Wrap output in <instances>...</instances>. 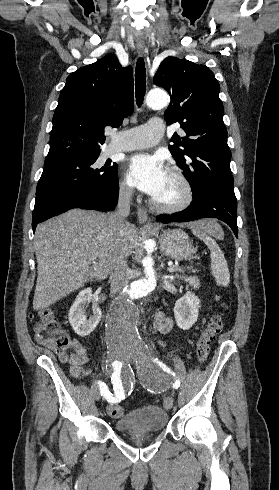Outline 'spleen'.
<instances>
[{"label":"spleen","mask_w":279,"mask_h":490,"mask_svg":"<svg viewBox=\"0 0 279 490\" xmlns=\"http://www.w3.org/2000/svg\"><path fill=\"white\" fill-rule=\"evenodd\" d=\"M194 236L205 242L211 252V272L221 288H227L230 284V274L227 262L218 244L213 238L223 240L224 234L221 226L215 220H201L193 230ZM213 236V238H210Z\"/></svg>","instance_id":"3e777b00"}]
</instances>
